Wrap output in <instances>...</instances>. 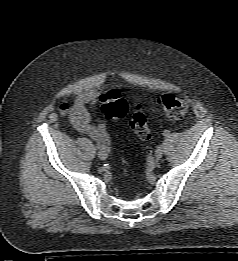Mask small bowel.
Listing matches in <instances>:
<instances>
[{"label":"small bowel","instance_id":"small-bowel-1","mask_svg":"<svg viewBox=\"0 0 238 261\" xmlns=\"http://www.w3.org/2000/svg\"><path fill=\"white\" fill-rule=\"evenodd\" d=\"M102 94L96 90H88L79 94L71 106L63 104L61 111L65 114L72 126L80 133L89 136L98 144H107L110 141L107 125L100 121L98 124H91L89 106H95L100 102Z\"/></svg>","mask_w":238,"mask_h":261}]
</instances>
